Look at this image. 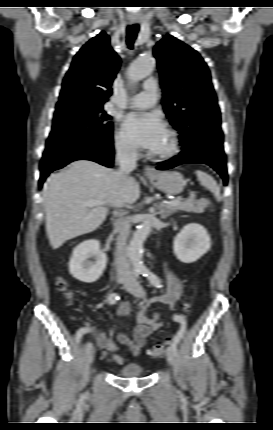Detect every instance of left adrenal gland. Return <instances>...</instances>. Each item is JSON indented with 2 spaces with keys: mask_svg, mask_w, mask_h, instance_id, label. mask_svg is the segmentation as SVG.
Returning a JSON list of instances; mask_svg holds the SVG:
<instances>
[{
  "mask_svg": "<svg viewBox=\"0 0 273 430\" xmlns=\"http://www.w3.org/2000/svg\"><path fill=\"white\" fill-rule=\"evenodd\" d=\"M160 210H161L160 215H161V218L163 219H166L170 214L173 213L172 211L166 210L164 208H160Z\"/></svg>",
  "mask_w": 273,
  "mask_h": 430,
  "instance_id": "left-adrenal-gland-1",
  "label": "left adrenal gland"
}]
</instances>
